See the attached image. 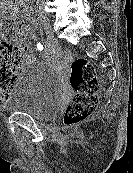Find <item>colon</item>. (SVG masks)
Listing matches in <instances>:
<instances>
[{
	"label": "colon",
	"instance_id": "obj_1",
	"mask_svg": "<svg viewBox=\"0 0 133 173\" xmlns=\"http://www.w3.org/2000/svg\"><path fill=\"white\" fill-rule=\"evenodd\" d=\"M30 26L7 14L0 21V102L5 101L19 72L22 53L15 42L25 36ZM69 82L74 91L68 102L63 122L73 126L88 119L95 111L99 84L92 64L76 58L70 66Z\"/></svg>",
	"mask_w": 133,
	"mask_h": 173
}]
</instances>
